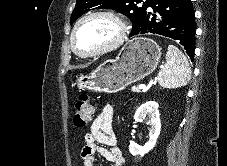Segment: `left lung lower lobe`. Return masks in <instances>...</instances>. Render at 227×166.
Segmentation results:
<instances>
[{"label":"left lung lower lobe","instance_id":"1","mask_svg":"<svg viewBox=\"0 0 227 166\" xmlns=\"http://www.w3.org/2000/svg\"><path fill=\"white\" fill-rule=\"evenodd\" d=\"M148 7L158 15L150 19L146 11L134 35L154 33L177 40L194 61L196 26L191 0H146V10Z\"/></svg>","mask_w":227,"mask_h":166}]
</instances>
